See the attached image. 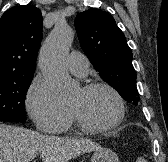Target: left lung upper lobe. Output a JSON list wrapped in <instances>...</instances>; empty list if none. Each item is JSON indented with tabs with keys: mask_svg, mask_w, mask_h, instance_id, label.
Returning <instances> with one entry per match:
<instances>
[{
	"mask_svg": "<svg viewBox=\"0 0 168 162\" xmlns=\"http://www.w3.org/2000/svg\"><path fill=\"white\" fill-rule=\"evenodd\" d=\"M75 28L80 45L100 77L129 103L138 105L132 51L123 32L107 12L91 8L79 13Z\"/></svg>",
	"mask_w": 168,
	"mask_h": 162,
	"instance_id": "1",
	"label": "left lung upper lobe"
}]
</instances>
